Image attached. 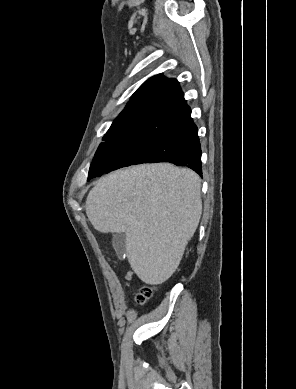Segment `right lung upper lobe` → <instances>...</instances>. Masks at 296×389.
<instances>
[{
	"label": "right lung upper lobe",
	"instance_id": "1",
	"mask_svg": "<svg viewBox=\"0 0 296 389\" xmlns=\"http://www.w3.org/2000/svg\"><path fill=\"white\" fill-rule=\"evenodd\" d=\"M190 114L178 81L158 74L138 88L116 120L156 115L180 121Z\"/></svg>",
	"mask_w": 296,
	"mask_h": 389
}]
</instances>
